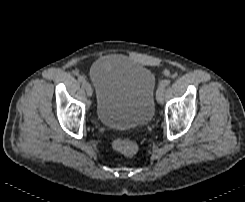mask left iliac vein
<instances>
[{
  "label": "left iliac vein",
  "instance_id": "1",
  "mask_svg": "<svg viewBox=\"0 0 245 202\" xmlns=\"http://www.w3.org/2000/svg\"><path fill=\"white\" fill-rule=\"evenodd\" d=\"M164 94H165V87L164 86H160L157 90L156 93V99L158 103H162L163 102V98H164Z\"/></svg>",
  "mask_w": 245,
  "mask_h": 202
}]
</instances>
